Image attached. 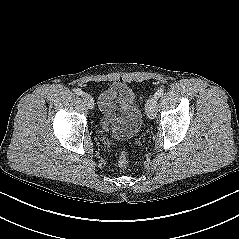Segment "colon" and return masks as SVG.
Returning <instances> with one entry per match:
<instances>
[{
    "label": "colon",
    "mask_w": 239,
    "mask_h": 239,
    "mask_svg": "<svg viewBox=\"0 0 239 239\" xmlns=\"http://www.w3.org/2000/svg\"><path fill=\"white\" fill-rule=\"evenodd\" d=\"M128 163V150L122 146L118 149V164L120 167H126Z\"/></svg>",
    "instance_id": "colon-1"
}]
</instances>
